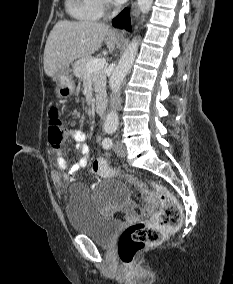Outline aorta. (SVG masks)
Here are the masks:
<instances>
[{
  "instance_id": "762f6f07",
  "label": "aorta",
  "mask_w": 233,
  "mask_h": 284,
  "mask_svg": "<svg viewBox=\"0 0 233 284\" xmlns=\"http://www.w3.org/2000/svg\"><path fill=\"white\" fill-rule=\"evenodd\" d=\"M137 3L140 11L143 14H147L151 9L153 0H137ZM137 50H138V41L136 38H134L127 46V49L125 50L124 54L119 60L117 67L115 68V70L113 71L110 77L109 80L110 89L115 96H118L120 94L121 84L123 82L124 77L126 76V74L133 65ZM118 123H119L118 113L114 110L108 113L104 123V127L105 129L108 130H114L117 128Z\"/></svg>"
}]
</instances>
